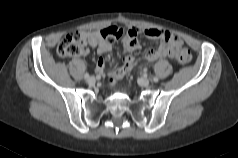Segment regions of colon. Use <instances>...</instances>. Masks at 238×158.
Masks as SVG:
<instances>
[{
    "label": "colon",
    "instance_id": "5ec220e1",
    "mask_svg": "<svg viewBox=\"0 0 238 158\" xmlns=\"http://www.w3.org/2000/svg\"><path fill=\"white\" fill-rule=\"evenodd\" d=\"M120 31L114 28H106L101 30V36L104 40L113 41ZM57 53L60 57L79 56L85 53V41L79 32H70L65 35L57 48ZM174 59L180 65H186L191 61L189 51L183 46L173 48L172 51Z\"/></svg>",
    "mask_w": 238,
    "mask_h": 158
}]
</instances>
